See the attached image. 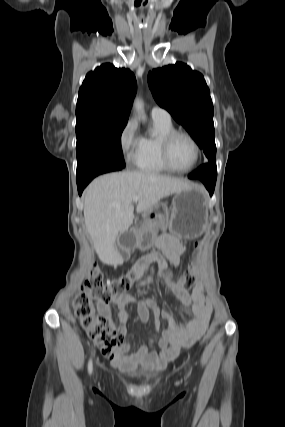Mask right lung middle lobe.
I'll use <instances>...</instances> for the list:
<instances>
[{"label": "right lung middle lobe", "mask_w": 285, "mask_h": 427, "mask_svg": "<svg viewBox=\"0 0 285 427\" xmlns=\"http://www.w3.org/2000/svg\"><path fill=\"white\" fill-rule=\"evenodd\" d=\"M127 120L82 118L76 121L77 175L97 164L125 166L121 134Z\"/></svg>", "instance_id": "obj_1"}]
</instances>
